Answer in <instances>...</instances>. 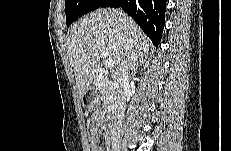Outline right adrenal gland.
<instances>
[{
	"instance_id": "obj_1",
	"label": "right adrenal gland",
	"mask_w": 231,
	"mask_h": 151,
	"mask_svg": "<svg viewBox=\"0 0 231 151\" xmlns=\"http://www.w3.org/2000/svg\"><path fill=\"white\" fill-rule=\"evenodd\" d=\"M146 58L147 57H145V59H141L140 61H139V63H137V65L135 66V68H134V70H133V72H132V75H134V74H136V71H137V68H138V66H146L147 64H148V62L146 61Z\"/></svg>"
}]
</instances>
